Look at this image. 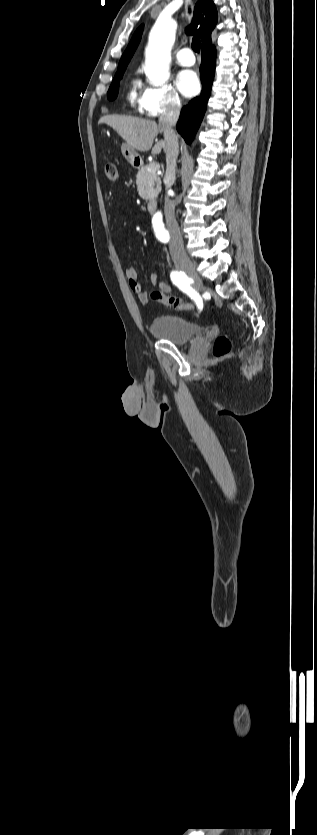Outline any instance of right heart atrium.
I'll return each mask as SVG.
<instances>
[{
  "label": "right heart atrium",
  "instance_id": "d8ad5b80",
  "mask_svg": "<svg viewBox=\"0 0 317 835\" xmlns=\"http://www.w3.org/2000/svg\"><path fill=\"white\" fill-rule=\"evenodd\" d=\"M181 106L178 93L169 84L145 87L138 100L140 112L149 118L177 113Z\"/></svg>",
  "mask_w": 317,
  "mask_h": 835
}]
</instances>
